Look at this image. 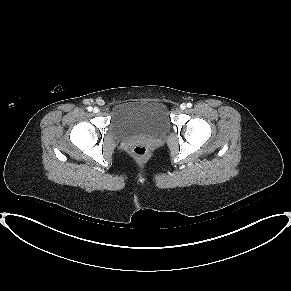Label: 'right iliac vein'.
<instances>
[{"label":"right iliac vein","mask_w":291,"mask_h":291,"mask_svg":"<svg viewBox=\"0 0 291 291\" xmlns=\"http://www.w3.org/2000/svg\"><path fill=\"white\" fill-rule=\"evenodd\" d=\"M93 112H94V113H99L100 110H99V108L95 107V108L93 109Z\"/></svg>","instance_id":"1"}]
</instances>
